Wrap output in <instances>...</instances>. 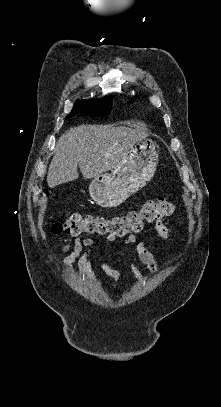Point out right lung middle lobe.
I'll use <instances>...</instances> for the list:
<instances>
[{
	"label": "right lung middle lobe",
	"instance_id": "right-lung-middle-lobe-1",
	"mask_svg": "<svg viewBox=\"0 0 221 407\" xmlns=\"http://www.w3.org/2000/svg\"><path fill=\"white\" fill-rule=\"evenodd\" d=\"M112 107V97L108 96L104 99L77 100L67 115L66 119L74 116L77 113L88 114L93 117L105 116L110 113Z\"/></svg>",
	"mask_w": 221,
	"mask_h": 407
}]
</instances>
